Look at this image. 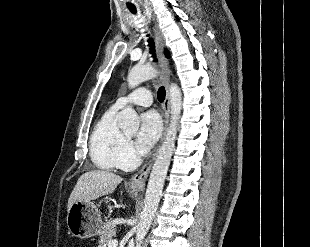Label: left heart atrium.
I'll use <instances>...</instances> for the list:
<instances>
[{
  "instance_id": "obj_1",
  "label": "left heart atrium",
  "mask_w": 310,
  "mask_h": 247,
  "mask_svg": "<svg viewBox=\"0 0 310 247\" xmlns=\"http://www.w3.org/2000/svg\"><path fill=\"white\" fill-rule=\"evenodd\" d=\"M161 120L154 111H148L140 117V127L136 138L139 153H147L156 143L161 134Z\"/></svg>"
}]
</instances>
